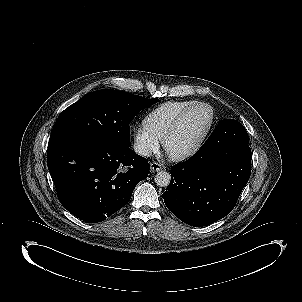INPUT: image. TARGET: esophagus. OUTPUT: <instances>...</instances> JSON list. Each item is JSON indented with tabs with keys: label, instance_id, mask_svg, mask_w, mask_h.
Masks as SVG:
<instances>
[{
	"label": "esophagus",
	"instance_id": "34e87169",
	"mask_svg": "<svg viewBox=\"0 0 302 302\" xmlns=\"http://www.w3.org/2000/svg\"><path fill=\"white\" fill-rule=\"evenodd\" d=\"M162 169H163V165L162 164H160L158 162H155V161H153V162L150 163V170H151V172H158V171H160Z\"/></svg>",
	"mask_w": 302,
	"mask_h": 302
}]
</instances>
